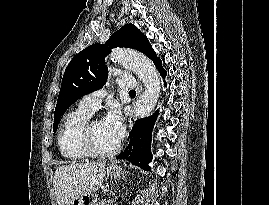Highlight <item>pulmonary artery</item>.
Returning <instances> with one entry per match:
<instances>
[{
	"label": "pulmonary artery",
	"mask_w": 269,
	"mask_h": 205,
	"mask_svg": "<svg viewBox=\"0 0 269 205\" xmlns=\"http://www.w3.org/2000/svg\"><path fill=\"white\" fill-rule=\"evenodd\" d=\"M118 86L126 90L135 89L137 87V81L132 76H121L118 79ZM105 95H106L105 90L94 91L84 96L79 101V106L93 114Z\"/></svg>",
	"instance_id": "pulmonary-artery-1"
}]
</instances>
